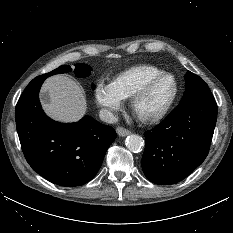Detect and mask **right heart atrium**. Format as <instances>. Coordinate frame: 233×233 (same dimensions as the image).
I'll use <instances>...</instances> for the list:
<instances>
[{
    "mask_svg": "<svg viewBox=\"0 0 233 233\" xmlns=\"http://www.w3.org/2000/svg\"><path fill=\"white\" fill-rule=\"evenodd\" d=\"M95 99L104 114L114 118L123 104V98L118 94L112 83L99 81L95 88Z\"/></svg>",
    "mask_w": 233,
    "mask_h": 233,
    "instance_id": "1",
    "label": "right heart atrium"
}]
</instances>
